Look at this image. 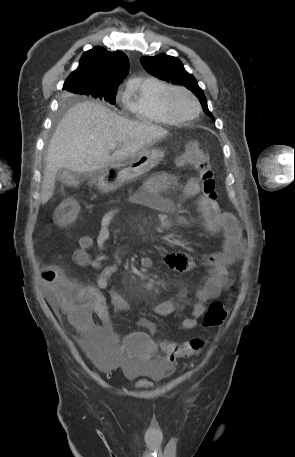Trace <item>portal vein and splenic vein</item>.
<instances>
[{"label":"portal vein and splenic vein","mask_w":295,"mask_h":457,"mask_svg":"<svg viewBox=\"0 0 295 457\" xmlns=\"http://www.w3.org/2000/svg\"><path fill=\"white\" fill-rule=\"evenodd\" d=\"M116 145H117L116 143H110L109 148L114 149Z\"/></svg>","instance_id":"1"}]
</instances>
